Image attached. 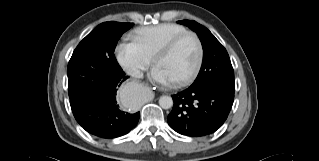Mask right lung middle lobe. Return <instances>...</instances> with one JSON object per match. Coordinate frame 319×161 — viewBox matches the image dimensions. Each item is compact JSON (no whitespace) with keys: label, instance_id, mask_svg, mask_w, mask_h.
Returning a JSON list of instances; mask_svg holds the SVG:
<instances>
[{"label":"right lung middle lobe","instance_id":"1","mask_svg":"<svg viewBox=\"0 0 319 161\" xmlns=\"http://www.w3.org/2000/svg\"><path fill=\"white\" fill-rule=\"evenodd\" d=\"M133 23L105 22L98 25L76 47L68 63V94L73 96L92 80L119 69L116 44Z\"/></svg>","mask_w":319,"mask_h":161}]
</instances>
